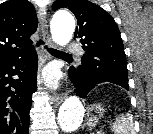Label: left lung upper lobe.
Listing matches in <instances>:
<instances>
[{"label":"left lung upper lobe","instance_id":"obj_1","mask_svg":"<svg viewBox=\"0 0 153 134\" xmlns=\"http://www.w3.org/2000/svg\"><path fill=\"white\" fill-rule=\"evenodd\" d=\"M53 10L68 8L77 18L75 38H80L85 54L77 68L107 82L128 86L127 62L119 29L110 14L88 0H56Z\"/></svg>","mask_w":153,"mask_h":134}]
</instances>
